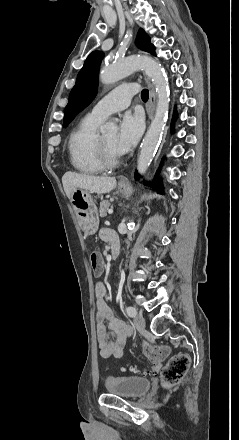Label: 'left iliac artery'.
Returning a JSON list of instances; mask_svg holds the SVG:
<instances>
[{"mask_svg": "<svg viewBox=\"0 0 239 440\" xmlns=\"http://www.w3.org/2000/svg\"><path fill=\"white\" fill-rule=\"evenodd\" d=\"M126 312H127L128 316H130V317H135L137 314V310L132 306H128L126 308Z\"/></svg>", "mask_w": 239, "mask_h": 440, "instance_id": "1", "label": "left iliac artery"}]
</instances>
